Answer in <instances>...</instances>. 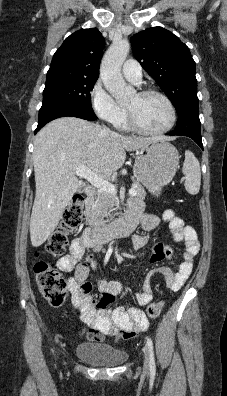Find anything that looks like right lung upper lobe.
I'll use <instances>...</instances> for the list:
<instances>
[{"label":"right lung upper lobe","instance_id":"1","mask_svg":"<svg viewBox=\"0 0 227 396\" xmlns=\"http://www.w3.org/2000/svg\"><path fill=\"white\" fill-rule=\"evenodd\" d=\"M104 44V37L96 28L76 31L55 52L48 72L98 78Z\"/></svg>","mask_w":227,"mask_h":396}]
</instances>
